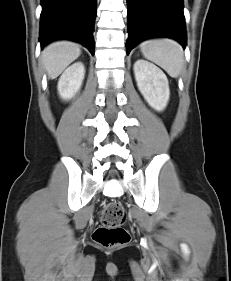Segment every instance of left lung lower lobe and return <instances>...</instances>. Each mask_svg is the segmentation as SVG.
I'll use <instances>...</instances> for the list:
<instances>
[{
  "instance_id": "obj_1",
  "label": "left lung lower lobe",
  "mask_w": 231,
  "mask_h": 281,
  "mask_svg": "<svg viewBox=\"0 0 231 281\" xmlns=\"http://www.w3.org/2000/svg\"><path fill=\"white\" fill-rule=\"evenodd\" d=\"M127 53L143 40L163 36L186 46L183 0H127Z\"/></svg>"
}]
</instances>
